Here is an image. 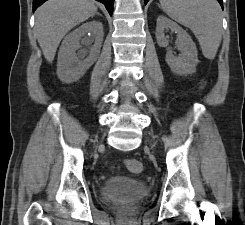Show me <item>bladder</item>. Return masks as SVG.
I'll list each match as a JSON object with an SVG mask.
<instances>
[{
	"mask_svg": "<svg viewBox=\"0 0 245 225\" xmlns=\"http://www.w3.org/2000/svg\"><path fill=\"white\" fill-rule=\"evenodd\" d=\"M148 183L145 181L133 180L130 178L115 176L110 177L102 184L99 191V199L102 202H109L118 198L148 195Z\"/></svg>",
	"mask_w": 245,
	"mask_h": 225,
	"instance_id": "obj_1",
	"label": "bladder"
}]
</instances>
